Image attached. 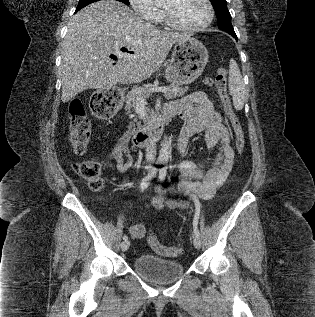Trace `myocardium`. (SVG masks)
<instances>
[{
    "mask_svg": "<svg viewBox=\"0 0 315 317\" xmlns=\"http://www.w3.org/2000/svg\"><path fill=\"white\" fill-rule=\"evenodd\" d=\"M204 3L207 7L208 15H207L205 22L202 23L201 25H198V26L182 25V24L178 23L166 9H163L164 19L170 27L177 29V30H180V31H185V32L203 31L210 26V24L212 23L213 18H214V8H213L211 1L204 0Z\"/></svg>",
    "mask_w": 315,
    "mask_h": 317,
    "instance_id": "obj_1",
    "label": "myocardium"
}]
</instances>
